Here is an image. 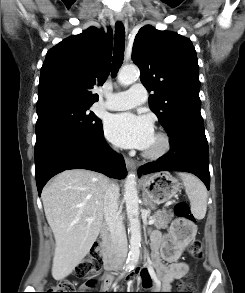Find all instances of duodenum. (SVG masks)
Instances as JSON below:
<instances>
[{
    "mask_svg": "<svg viewBox=\"0 0 245 293\" xmlns=\"http://www.w3.org/2000/svg\"><path fill=\"white\" fill-rule=\"evenodd\" d=\"M100 238L103 243L102 258L106 269L114 271L119 268L118 258L112 256L110 252L109 228L105 227L100 230ZM137 269H140L139 267Z\"/></svg>",
    "mask_w": 245,
    "mask_h": 293,
    "instance_id": "obj_1",
    "label": "duodenum"
}]
</instances>
